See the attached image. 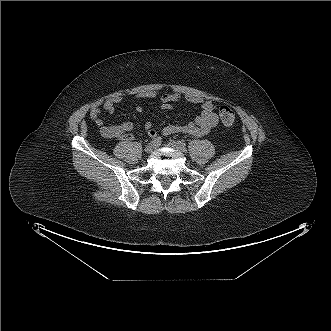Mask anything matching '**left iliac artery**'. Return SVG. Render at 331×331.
Returning <instances> with one entry per match:
<instances>
[{"mask_svg": "<svg viewBox=\"0 0 331 331\" xmlns=\"http://www.w3.org/2000/svg\"><path fill=\"white\" fill-rule=\"evenodd\" d=\"M179 146L182 147V148H185L186 147V143L183 141V140H179L177 141Z\"/></svg>", "mask_w": 331, "mask_h": 331, "instance_id": "obj_1", "label": "left iliac artery"}]
</instances>
